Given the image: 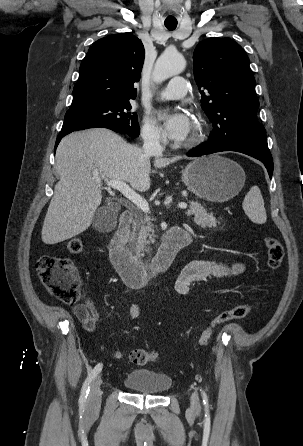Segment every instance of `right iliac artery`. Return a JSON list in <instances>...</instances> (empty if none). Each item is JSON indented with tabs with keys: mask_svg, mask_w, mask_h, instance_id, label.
<instances>
[{
	"mask_svg": "<svg viewBox=\"0 0 303 446\" xmlns=\"http://www.w3.org/2000/svg\"><path fill=\"white\" fill-rule=\"evenodd\" d=\"M101 370H102V364L99 363L88 374V377L85 380V382H84V384L82 386V390H81V395H80V399H79V402L81 404L86 403L87 396H88V393H89L90 384H91L92 380L97 376V374L100 373Z\"/></svg>",
	"mask_w": 303,
	"mask_h": 446,
	"instance_id": "1",
	"label": "right iliac artery"
}]
</instances>
